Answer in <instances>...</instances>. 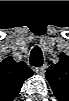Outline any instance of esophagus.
Listing matches in <instances>:
<instances>
[{
  "label": "esophagus",
  "mask_w": 69,
  "mask_h": 101,
  "mask_svg": "<svg viewBox=\"0 0 69 101\" xmlns=\"http://www.w3.org/2000/svg\"><path fill=\"white\" fill-rule=\"evenodd\" d=\"M45 71H46V66L43 65L41 67H36L35 68V72L38 74V75H41L43 76L45 74Z\"/></svg>",
  "instance_id": "34e87169"
}]
</instances>
